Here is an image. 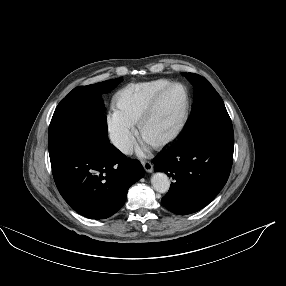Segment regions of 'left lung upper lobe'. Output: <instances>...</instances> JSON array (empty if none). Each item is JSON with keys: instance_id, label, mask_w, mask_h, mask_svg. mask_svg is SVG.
<instances>
[{"instance_id": "left-lung-upper-lobe-1", "label": "left lung upper lobe", "mask_w": 286, "mask_h": 286, "mask_svg": "<svg viewBox=\"0 0 286 286\" xmlns=\"http://www.w3.org/2000/svg\"><path fill=\"white\" fill-rule=\"evenodd\" d=\"M195 87L194 104L187 127L178 145H187L203 138H233L231 119L224 102L204 77L185 73Z\"/></svg>"}]
</instances>
